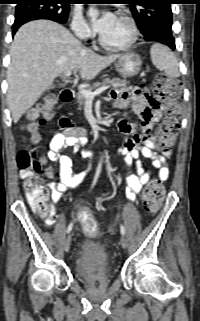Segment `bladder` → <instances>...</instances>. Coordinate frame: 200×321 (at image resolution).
I'll return each instance as SVG.
<instances>
[{
	"label": "bladder",
	"mask_w": 200,
	"mask_h": 321,
	"mask_svg": "<svg viewBox=\"0 0 200 321\" xmlns=\"http://www.w3.org/2000/svg\"><path fill=\"white\" fill-rule=\"evenodd\" d=\"M76 270L84 280H90L95 275L106 277L111 272V260L101 245L85 240L81 243Z\"/></svg>",
	"instance_id": "bladder-1"
}]
</instances>
